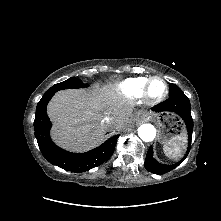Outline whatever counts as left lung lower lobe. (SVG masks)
Here are the masks:
<instances>
[{"label": "left lung lower lobe", "instance_id": "obj_1", "mask_svg": "<svg viewBox=\"0 0 221 221\" xmlns=\"http://www.w3.org/2000/svg\"><path fill=\"white\" fill-rule=\"evenodd\" d=\"M153 111L156 113H165V112H171L175 113L178 116L181 117L183 120V123L187 127V132H188V137H189V144L191 143L192 139V132H193V120L191 116V105L189 98L184 94V95H177V96H171L164 102H161L157 104L155 107L152 108ZM190 151V145L188 146L187 154L185 157L179 161L178 163L174 165H164L158 163L154 158H153V150L152 146L149 148L147 155H146V160L144 163V166L146 170H148L151 173L154 174H165L174 168H176L179 164L182 163V161L186 158Z\"/></svg>", "mask_w": 221, "mask_h": 221}]
</instances>
